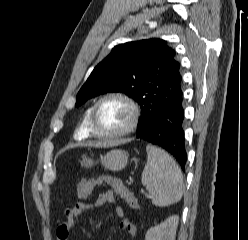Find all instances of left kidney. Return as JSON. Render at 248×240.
I'll return each mask as SVG.
<instances>
[{"mask_svg":"<svg viewBox=\"0 0 248 240\" xmlns=\"http://www.w3.org/2000/svg\"><path fill=\"white\" fill-rule=\"evenodd\" d=\"M179 216L173 215L159 225L150 228L145 240H175Z\"/></svg>","mask_w":248,"mask_h":240,"instance_id":"obj_1","label":"left kidney"}]
</instances>
